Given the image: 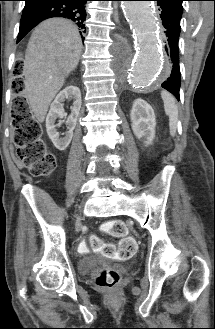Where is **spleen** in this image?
<instances>
[{"mask_svg": "<svg viewBox=\"0 0 215 329\" xmlns=\"http://www.w3.org/2000/svg\"><path fill=\"white\" fill-rule=\"evenodd\" d=\"M161 97L164 102L165 113L169 117L170 134L175 136L178 120V107L175 103L174 97L167 91H162Z\"/></svg>", "mask_w": 215, "mask_h": 329, "instance_id": "obj_1", "label": "spleen"}]
</instances>
